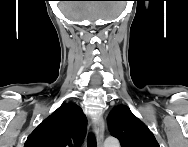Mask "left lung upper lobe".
<instances>
[{
    "label": "left lung upper lobe",
    "mask_w": 188,
    "mask_h": 147,
    "mask_svg": "<svg viewBox=\"0 0 188 147\" xmlns=\"http://www.w3.org/2000/svg\"><path fill=\"white\" fill-rule=\"evenodd\" d=\"M109 130L122 147H159L153 133L126 105L116 106L110 112Z\"/></svg>",
    "instance_id": "1"
}]
</instances>
